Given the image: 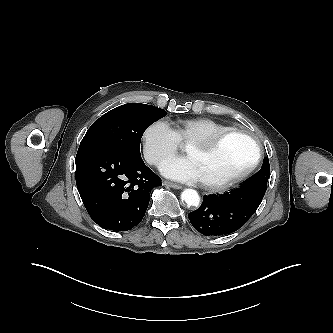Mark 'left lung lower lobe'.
I'll list each match as a JSON object with an SVG mask.
<instances>
[{"mask_svg":"<svg viewBox=\"0 0 333 333\" xmlns=\"http://www.w3.org/2000/svg\"><path fill=\"white\" fill-rule=\"evenodd\" d=\"M267 185L243 186L227 192L204 196L201 206L189 213L192 226L205 236L230 234L241 228L256 212Z\"/></svg>","mask_w":333,"mask_h":333,"instance_id":"1","label":"left lung lower lobe"}]
</instances>
